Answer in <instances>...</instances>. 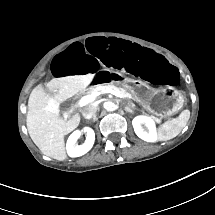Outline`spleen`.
<instances>
[{"label":"spleen","mask_w":215,"mask_h":215,"mask_svg":"<svg viewBox=\"0 0 215 215\" xmlns=\"http://www.w3.org/2000/svg\"><path fill=\"white\" fill-rule=\"evenodd\" d=\"M185 125L186 121H184L181 116L166 121L158 130V139L160 141H167L175 138Z\"/></svg>","instance_id":"spleen-1"}]
</instances>
